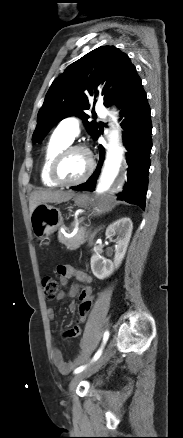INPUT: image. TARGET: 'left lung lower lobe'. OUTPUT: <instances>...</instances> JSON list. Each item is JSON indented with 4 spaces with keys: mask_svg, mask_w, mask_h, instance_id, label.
Masks as SVG:
<instances>
[{
    "mask_svg": "<svg viewBox=\"0 0 183 438\" xmlns=\"http://www.w3.org/2000/svg\"><path fill=\"white\" fill-rule=\"evenodd\" d=\"M116 103L121 109V117H124L121 126L124 130L123 142L128 151L126 159L129 166L127 183L122 193L118 194V198L144 209L150 167L149 157L152 148V124L150 107L139 76L130 83ZM99 135L100 132H98L94 139H98ZM104 155L105 151L101 146L99 163L95 173L87 182L72 187L73 190H94Z\"/></svg>",
    "mask_w": 183,
    "mask_h": 438,
    "instance_id": "left-lung-lower-lobe-1",
    "label": "left lung lower lobe"
}]
</instances>
